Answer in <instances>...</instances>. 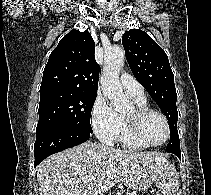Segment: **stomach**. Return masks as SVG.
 Returning <instances> with one entry per match:
<instances>
[{
  "mask_svg": "<svg viewBox=\"0 0 211 195\" xmlns=\"http://www.w3.org/2000/svg\"><path fill=\"white\" fill-rule=\"evenodd\" d=\"M135 178L138 183L146 180L144 177L135 176ZM154 182L160 189L157 195H175V188L178 182L175 168L169 162L161 164L159 172L155 174Z\"/></svg>",
  "mask_w": 211,
  "mask_h": 195,
  "instance_id": "1",
  "label": "stomach"
}]
</instances>
